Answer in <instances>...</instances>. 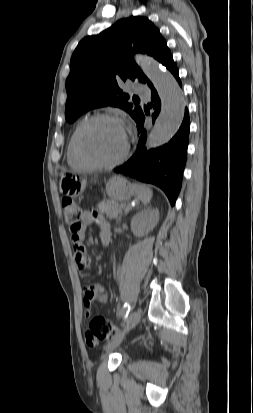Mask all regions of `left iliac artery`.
I'll return each instance as SVG.
<instances>
[{"label":"left iliac artery","instance_id":"1","mask_svg":"<svg viewBox=\"0 0 253 413\" xmlns=\"http://www.w3.org/2000/svg\"><path fill=\"white\" fill-rule=\"evenodd\" d=\"M131 310V307L128 303H125L122 310L120 311L121 316H127Z\"/></svg>","mask_w":253,"mask_h":413}]
</instances>
